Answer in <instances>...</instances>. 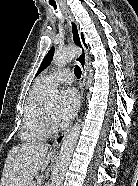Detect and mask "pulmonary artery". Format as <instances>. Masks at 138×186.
I'll return each mask as SVG.
<instances>
[{"label": "pulmonary artery", "mask_w": 138, "mask_h": 186, "mask_svg": "<svg viewBox=\"0 0 138 186\" xmlns=\"http://www.w3.org/2000/svg\"><path fill=\"white\" fill-rule=\"evenodd\" d=\"M74 79V73L69 69H62L57 71L53 74H50L44 77L41 81L45 85H53V84H60V83H71Z\"/></svg>", "instance_id": "e3ab8cb5"}]
</instances>
